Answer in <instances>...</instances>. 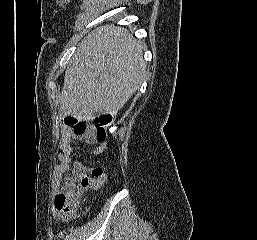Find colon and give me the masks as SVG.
Masks as SVG:
<instances>
[{"instance_id":"5ec220e1","label":"colon","mask_w":257,"mask_h":240,"mask_svg":"<svg viewBox=\"0 0 257 240\" xmlns=\"http://www.w3.org/2000/svg\"><path fill=\"white\" fill-rule=\"evenodd\" d=\"M112 117L108 114L99 115L91 124H87L74 117L65 119L66 127L76 135L84 134L88 129H93L96 137L104 141L107 135V127L110 125ZM105 179V171L102 167H95L90 173L84 174L79 181V186L75 190L58 194L55 198V205L67 216H72L79 204L83 192L93 188Z\"/></svg>"}]
</instances>
